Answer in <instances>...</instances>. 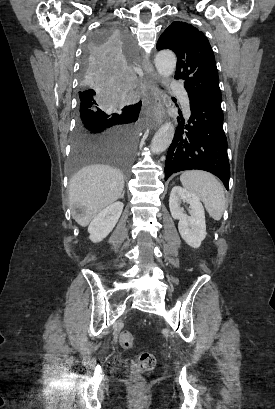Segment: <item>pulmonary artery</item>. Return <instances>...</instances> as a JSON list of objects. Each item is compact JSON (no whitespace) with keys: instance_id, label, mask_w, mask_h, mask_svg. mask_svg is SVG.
Wrapping results in <instances>:
<instances>
[{"instance_id":"1","label":"pulmonary artery","mask_w":275,"mask_h":409,"mask_svg":"<svg viewBox=\"0 0 275 409\" xmlns=\"http://www.w3.org/2000/svg\"><path fill=\"white\" fill-rule=\"evenodd\" d=\"M170 85H171L172 87H175V86L177 85V82H176L175 80H172V81L170 82ZM180 99H181V103H182V106H183V109H184L185 113L187 114V116H189V113H190V105H189V98H188L187 93H186V92H183V93L181 94V96H180Z\"/></svg>"}]
</instances>
